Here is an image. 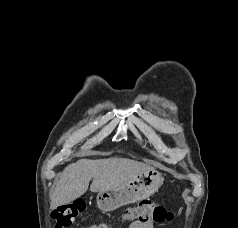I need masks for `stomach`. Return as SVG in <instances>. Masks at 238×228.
Listing matches in <instances>:
<instances>
[{
	"instance_id": "obj_1",
	"label": "stomach",
	"mask_w": 238,
	"mask_h": 228,
	"mask_svg": "<svg viewBox=\"0 0 238 228\" xmlns=\"http://www.w3.org/2000/svg\"><path fill=\"white\" fill-rule=\"evenodd\" d=\"M164 178L155 169L137 175L119 188L99 192L97 206L105 212L135 203L153 195L163 184Z\"/></svg>"
}]
</instances>
